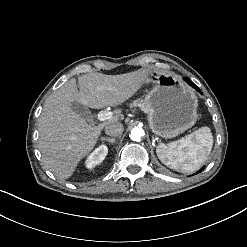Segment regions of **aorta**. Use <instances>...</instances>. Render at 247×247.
I'll list each match as a JSON object with an SVG mask.
<instances>
[{
  "label": "aorta",
  "instance_id": "aorta-1",
  "mask_svg": "<svg viewBox=\"0 0 247 247\" xmlns=\"http://www.w3.org/2000/svg\"><path fill=\"white\" fill-rule=\"evenodd\" d=\"M145 135V132L142 128L140 127H134L131 129V134H130V138L133 141H140V139Z\"/></svg>",
  "mask_w": 247,
  "mask_h": 247
}]
</instances>
